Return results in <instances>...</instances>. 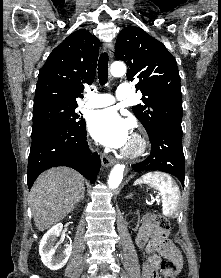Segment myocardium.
Listing matches in <instances>:
<instances>
[{
    "instance_id": "f54148a6",
    "label": "myocardium",
    "mask_w": 221,
    "mask_h": 278,
    "mask_svg": "<svg viewBox=\"0 0 221 278\" xmlns=\"http://www.w3.org/2000/svg\"><path fill=\"white\" fill-rule=\"evenodd\" d=\"M147 147L146 138L139 133H134L129 145L122 151V155L128 159H137L145 154Z\"/></svg>"
}]
</instances>
